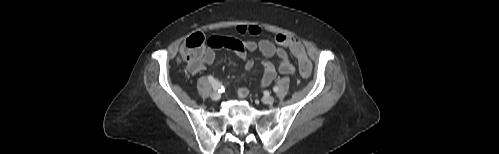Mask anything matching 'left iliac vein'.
<instances>
[{
	"instance_id": "1",
	"label": "left iliac vein",
	"mask_w": 499,
	"mask_h": 154,
	"mask_svg": "<svg viewBox=\"0 0 499 154\" xmlns=\"http://www.w3.org/2000/svg\"><path fill=\"white\" fill-rule=\"evenodd\" d=\"M275 98L271 95H266L262 98V102L264 104H272L274 102Z\"/></svg>"
}]
</instances>
